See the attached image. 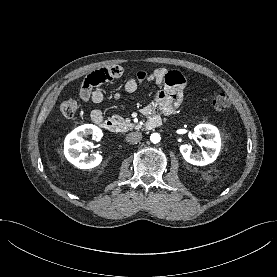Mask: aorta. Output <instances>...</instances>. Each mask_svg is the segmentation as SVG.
<instances>
[{
  "label": "aorta",
  "mask_w": 277,
  "mask_h": 277,
  "mask_svg": "<svg viewBox=\"0 0 277 277\" xmlns=\"http://www.w3.org/2000/svg\"><path fill=\"white\" fill-rule=\"evenodd\" d=\"M150 140H151L152 143L156 144V143L160 142L161 137L158 133H153L150 136Z\"/></svg>",
  "instance_id": "762f6f07"
}]
</instances>
